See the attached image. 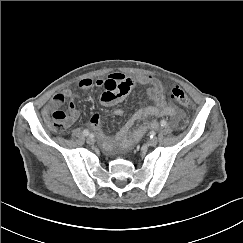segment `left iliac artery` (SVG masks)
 <instances>
[{
    "label": "left iliac artery",
    "mask_w": 243,
    "mask_h": 243,
    "mask_svg": "<svg viewBox=\"0 0 243 243\" xmlns=\"http://www.w3.org/2000/svg\"><path fill=\"white\" fill-rule=\"evenodd\" d=\"M160 125H161L162 127H165V126L167 125L166 120H161V121H160ZM154 136H155V133L153 132L152 135H151V138H153Z\"/></svg>",
    "instance_id": "1"
}]
</instances>
